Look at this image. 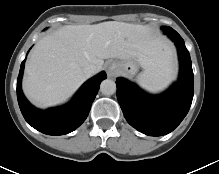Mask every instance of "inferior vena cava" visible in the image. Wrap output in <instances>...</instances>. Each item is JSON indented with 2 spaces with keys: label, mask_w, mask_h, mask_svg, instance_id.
Segmentation results:
<instances>
[{
  "label": "inferior vena cava",
  "mask_w": 219,
  "mask_h": 174,
  "mask_svg": "<svg viewBox=\"0 0 219 174\" xmlns=\"http://www.w3.org/2000/svg\"><path fill=\"white\" fill-rule=\"evenodd\" d=\"M83 71L85 75L89 77L97 72V67L93 64H88L87 66L84 67Z\"/></svg>",
  "instance_id": "602c4592"
}]
</instances>
